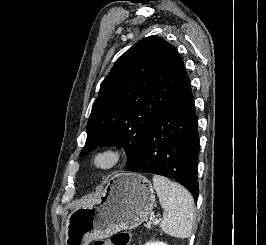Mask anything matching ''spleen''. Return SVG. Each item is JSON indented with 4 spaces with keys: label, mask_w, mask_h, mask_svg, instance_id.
Returning <instances> with one entry per match:
<instances>
[{
    "label": "spleen",
    "mask_w": 266,
    "mask_h": 245,
    "mask_svg": "<svg viewBox=\"0 0 266 245\" xmlns=\"http://www.w3.org/2000/svg\"><path fill=\"white\" fill-rule=\"evenodd\" d=\"M153 187L164 209V217L160 225L162 231L176 239L190 237L195 217L192 195L181 185L172 183L161 175H154Z\"/></svg>",
    "instance_id": "1"
}]
</instances>
